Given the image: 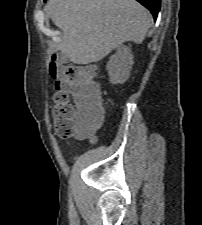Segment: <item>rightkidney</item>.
Here are the masks:
<instances>
[{
    "mask_svg": "<svg viewBox=\"0 0 202 225\" xmlns=\"http://www.w3.org/2000/svg\"><path fill=\"white\" fill-rule=\"evenodd\" d=\"M132 65L133 55L129 47L119 46L106 66L110 82L113 84L124 83L129 77Z\"/></svg>",
    "mask_w": 202,
    "mask_h": 225,
    "instance_id": "right-kidney-1",
    "label": "right kidney"
}]
</instances>
